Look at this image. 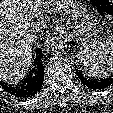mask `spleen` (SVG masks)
I'll return each instance as SVG.
<instances>
[{"mask_svg":"<svg viewBox=\"0 0 113 113\" xmlns=\"http://www.w3.org/2000/svg\"><path fill=\"white\" fill-rule=\"evenodd\" d=\"M80 61L88 76L109 77L113 73V36L94 46L84 48Z\"/></svg>","mask_w":113,"mask_h":113,"instance_id":"obj_1","label":"spleen"}]
</instances>
